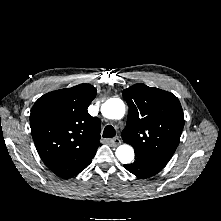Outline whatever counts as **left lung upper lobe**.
I'll list each match as a JSON object with an SVG mask.
<instances>
[{
    "label": "left lung upper lobe",
    "mask_w": 221,
    "mask_h": 221,
    "mask_svg": "<svg viewBox=\"0 0 221 221\" xmlns=\"http://www.w3.org/2000/svg\"><path fill=\"white\" fill-rule=\"evenodd\" d=\"M128 103L123 141L135 154L168 162L180 141L184 114L178 98L170 92L135 84L123 91Z\"/></svg>",
    "instance_id": "left-lung-upper-lobe-1"
}]
</instances>
